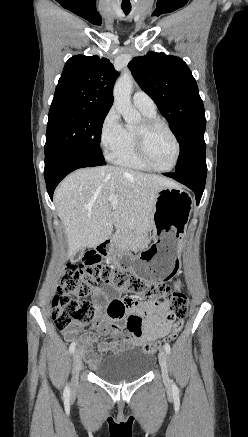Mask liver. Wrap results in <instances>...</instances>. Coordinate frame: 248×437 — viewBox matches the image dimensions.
Wrapping results in <instances>:
<instances>
[{
	"label": "liver",
	"mask_w": 248,
	"mask_h": 437,
	"mask_svg": "<svg viewBox=\"0 0 248 437\" xmlns=\"http://www.w3.org/2000/svg\"><path fill=\"white\" fill-rule=\"evenodd\" d=\"M162 186L175 184L163 176L114 166L82 168L67 176L55 190L54 203L67 236L68 257L107 240L113 225L129 238L144 239ZM110 196L118 198L114 210Z\"/></svg>",
	"instance_id": "liver-1"
}]
</instances>
